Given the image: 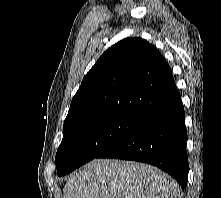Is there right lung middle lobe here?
Masks as SVG:
<instances>
[{
  "mask_svg": "<svg viewBox=\"0 0 221 198\" xmlns=\"http://www.w3.org/2000/svg\"><path fill=\"white\" fill-rule=\"evenodd\" d=\"M140 119L131 115H111L64 133L55 158L57 174L66 175L97 158L129 134Z\"/></svg>",
  "mask_w": 221,
  "mask_h": 198,
  "instance_id": "dd1d6c3e",
  "label": "right lung middle lobe"
}]
</instances>
